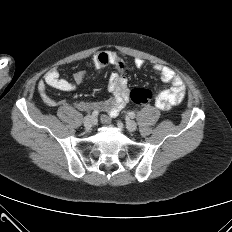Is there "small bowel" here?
Masks as SVG:
<instances>
[{
	"label": "small bowel",
	"mask_w": 232,
	"mask_h": 232,
	"mask_svg": "<svg viewBox=\"0 0 232 232\" xmlns=\"http://www.w3.org/2000/svg\"><path fill=\"white\" fill-rule=\"evenodd\" d=\"M92 67L94 70H100L107 65L115 67V71L109 78V89L112 92V97L105 101H78L73 105L76 109L82 112L103 111L105 115L102 117L103 123H108L110 119L116 116L126 105L129 100L128 79L125 76L127 64L115 52L100 51L92 57ZM144 61L140 58L134 60L136 68L144 67ZM153 70L158 73L161 79L169 84V88L162 90L156 97V107L161 110H168L178 105L184 98L186 88L182 78L172 69L155 64ZM88 76L85 70L74 73L72 81L60 78L57 69L49 70L42 81L38 83V91L44 103L50 107H55L58 102L53 99L47 92V87H52L59 91L70 92L76 86L82 83Z\"/></svg>",
	"instance_id": "small-bowel-1"
}]
</instances>
